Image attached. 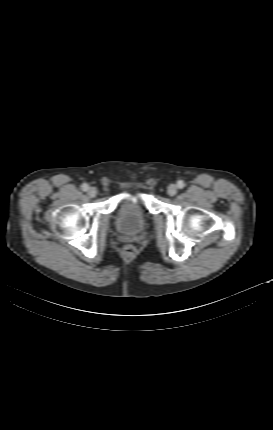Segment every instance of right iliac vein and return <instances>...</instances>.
<instances>
[{"label":"right iliac vein","mask_w":273,"mask_h":430,"mask_svg":"<svg viewBox=\"0 0 273 430\" xmlns=\"http://www.w3.org/2000/svg\"><path fill=\"white\" fill-rule=\"evenodd\" d=\"M87 194H88V196H89V197H91V198L95 197V196H96V194H97V190H96V188H94V187H90V188L87 190Z\"/></svg>","instance_id":"obj_1"}]
</instances>
